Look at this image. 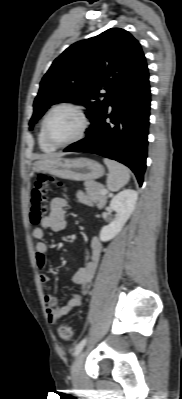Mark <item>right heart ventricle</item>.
<instances>
[{
	"label": "right heart ventricle",
	"mask_w": 182,
	"mask_h": 399,
	"mask_svg": "<svg viewBox=\"0 0 182 399\" xmlns=\"http://www.w3.org/2000/svg\"><path fill=\"white\" fill-rule=\"evenodd\" d=\"M38 143L42 151L44 152H52L55 150V147L51 146L46 142V140L43 137L42 133V125L40 127L39 133H38Z\"/></svg>",
	"instance_id": "1"
}]
</instances>
